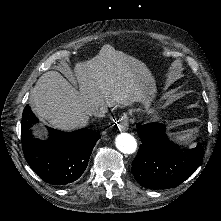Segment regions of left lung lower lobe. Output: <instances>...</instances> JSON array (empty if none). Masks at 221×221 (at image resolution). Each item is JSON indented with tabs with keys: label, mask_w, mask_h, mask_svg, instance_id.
Returning a JSON list of instances; mask_svg holds the SVG:
<instances>
[{
	"label": "left lung lower lobe",
	"mask_w": 221,
	"mask_h": 221,
	"mask_svg": "<svg viewBox=\"0 0 221 221\" xmlns=\"http://www.w3.org/2000/svg\"><path fill=\"white\" fill-rule=\"evenodd\" d=\"M136 127L142 144L132 162V173L141 186L153 189L176 187L200 166L203 159L201 144L182 151L168 140L165 125L137 123Z\"/></svg>",
	"instance_id": "left-lung-lower-lobe-1"
}]
</instances>
